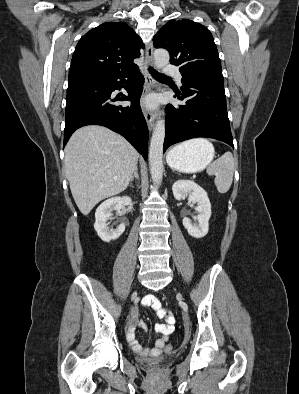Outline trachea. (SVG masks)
<instances>
[{"label":"trachea","instance_id":"obj_1","mask_svg":"<svg viewBox=\"0 0 299 394\" xmlns=\"http://www.w3.org/2000/svg\"><path fill=\"white\" fill-rule=\"evenodd\" d=\"M149 72L151 73V75L155 78V79H170V77H167L163 74H160L159 72H157L156 70H154L153 68H149Z\"/></svg>","mask_w":299,"mask_h":394}]
</instances>
